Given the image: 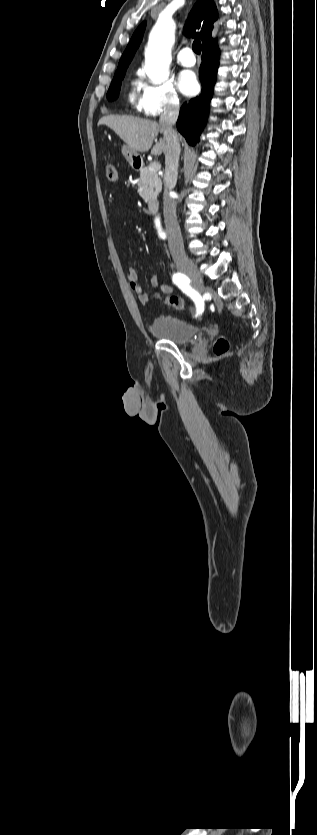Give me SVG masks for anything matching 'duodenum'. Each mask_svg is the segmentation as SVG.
Wrapping results in <instances>:
<instances>
[{"mask_svg":"<svg viewBox=\"0 0 317 835\" xmlns=\"http://www.w3.org/2000/svg\"><path fill=\"white\" fill-rule=\"evenodd\" d=\"M136 167H139V164H137ZM147 206L151 212H156L159 209V201L155 198H151L148 200Z\"/></svg>","mask_w":317,"mask_h":835,"instance_id":"obj_1","label":"duodenum"}]
</instances>
